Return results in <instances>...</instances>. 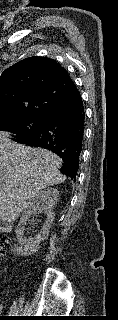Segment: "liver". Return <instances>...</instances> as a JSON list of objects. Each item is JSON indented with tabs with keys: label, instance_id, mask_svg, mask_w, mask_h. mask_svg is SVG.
<instances>
[{
	"label": "liver",
	"instance_id": "liver-1",
	"mask_svg": "<svg viewBox=\"0 0 118 320\" xmlns=\"http://www.w3.org/2000/svg\"><path fill=\"white\" fill-rule=\"evenodd\" d=\"M0 132V219L10 223L44 188L65 181L55 153L16 143Z\"/></svg>",
	"mask_w": 118,
	"mask_h": 320
}]
</instances>
